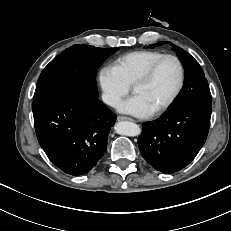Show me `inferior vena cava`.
Masks as SVG:
<instances>
[{"mask_svg": "<svg viewBox=\"0 0 231 231\" xmlns=\"http://www.w3.org/2000/svg\"><path fill=\"white\" fill-rule=\"evenodd\" d=\"M102 99H103V101L106 103V104H108V105H110V106H116L117 105V103H118V98H116V97H114V96H112V95H103L102 96Z\"/></svg>", "mask_w": 231, "mask_h": 231, "instance_id": "inferior-vena-cava-1", "label": "inferior vena cava"}]
</instances>
